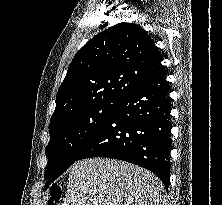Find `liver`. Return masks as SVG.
<instances>
[{"label":"liver","mask_w":222,"mask_h":205,"mask_svg":"<svg viewBox=\"0 0 222 205\" xmlns=\"http://www.w3.org/2000/svg\"><path fill=\"white\" fill-rule=\"evenodd\" d=\"M164 185L139 166L104 158L75 162L63 205H164Z\"/></svg>","instance_id":"1"}]
</instances>
